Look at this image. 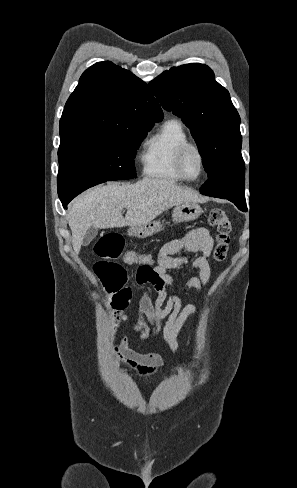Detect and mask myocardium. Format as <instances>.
<instances>
[{
	"label": "myocardium",
	"mask_w": 297,
	"mask_h": 488,
	"mask_svg": "<svg viewBox=\"0 0 297 488\" xmlns=\"http://www.w3.org/2000/svg\"><path fill=\"white\" fill-rule=\"evenodd\" d=\"M194 150L199 158H200V171L199 174L195 177H190L187 175L185 168H184V159L188 151ZM175 168L178 172V174L186 181H196L198 180L205 172L206 168V162H205V156L203 151L200 149L199 146H197L194 143L188 142L186 144H183L177 151L176 157H175Z\"/></svg>",
	"instance_id": "f54148a6"
}]
</instances>
